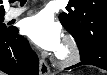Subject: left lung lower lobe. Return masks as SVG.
I'll return each instance as SVG.
<instances>
[{
  "label": "left lung lower lobe",
  "instance_id": "obj_1",
  "mask_svg": "<svg viewBox=\"0 0 107 75\" xmlns=\"http://www.w3.org/2000/svg\"><path fill=\"white\" fill-rule=\"evenodd\" d=\"M92 41L94 42V50L86 58H81L85 65H94L107 70V41L105 40L104 28H100L98 32L92 34ZM81 63L68 67L72 69L80 66Z\"/></svg>",
  "mask_w": 107,
  "mask_h": 75
}]
</instances>
